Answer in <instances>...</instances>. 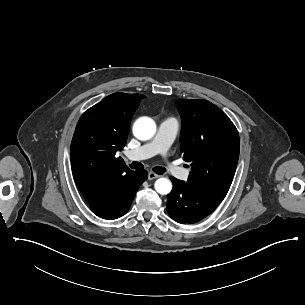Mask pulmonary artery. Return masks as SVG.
<instances>
[{
    "instance_id": "e3ab8cb5",
    "label": "pulmonary artery",
    "mask_w": 305,
    "mask_h": 305,
    "mask_svg": "<svg viewBox=\"0 0 305 305\" xmlns=\"http://www.w3.org/2000/svg\"><path fill=\"white\" fill-rule=\"evenodd\" d=\"M178 130V123L174 118H166L160 121L156 134L147 143L143 144L136 151H132L129 157L132 160H141L147 156L165 155L172 145ZM166 169L175 178H187L189 170L178 169L174 161L164 162Z\"/></svg>"
}]
</instances>
